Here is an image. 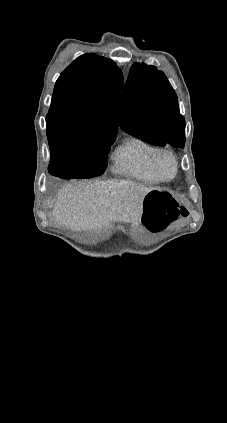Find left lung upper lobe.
<instances>
[{
    "instance_id": "obj_1",
    "label": "left lung upper lobe",
    "mask_w": 227,
    "mask_h": 423,
    "mask_svg": "<svg viewBox=\"0 0 227 423\" xmlns=\"http://www.w3.org/2000/svg\"><path fill=\"white\" fill-rule=\"evenodd\" d=\"M122 130L143 141L183 148L185 120L167 77L155 66L134 63L119 106Z\"/></svg>"
}]
</instances>
